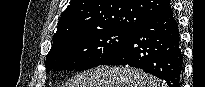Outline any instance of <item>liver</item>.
<instances>
[{"label":"liver","mask_w":205,"mask_h":87,"mask_svg":"<svg viewBox=\"0 0 205 87\" xmlns=\"http://www.w3.org/2000/svg\"><path fill=\"white\" fill-rule=\"evenodd\" d=\"M65 87H164L155 77L122 66H98L77 74Z\"/></svg>","instance_id":"liver-1"}]
</instances>
